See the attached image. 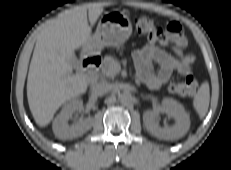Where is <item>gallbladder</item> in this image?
Wrapping results in <instances>:
<instances>
[{"label":"gallbladder","mask_w":231,"mask_h":170,"mask_svg":"<svg viewBox=\"0 0 231 170\" xmlns=\"http://www.w3.org/2000/svg\"><path fill=\"white\" fill-rule=\"evenodd\" d=\"M73 66L76 68V63H77V61H76V59L75 60H73Z\"/></svg>","instance_id":"obj_1"}]
</instances>
